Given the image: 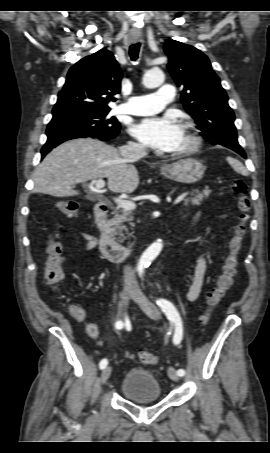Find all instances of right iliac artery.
I'll return each mask as SVG.
<instances>
[{
    "mask_svg": "<svg viewBox=\"0 0 270 453\" xmlns=\"http://www.w3.org/2000/svg\"><path fill=\"white\" fill-rule=\"evenodd\" d=\"M115 328L118 329V330L122 329L123 328V322L120 321V320L117 321L115 323ZM107 364H108V360L106 358L102 359L100 364H99L100 369H104L107 366Z\"/></svg>",
    "mask_w": 270,
    "mask_h": 453,
    "instance_id": "obj_1",
    "label": "right iliac artery"
}]
</instances>
